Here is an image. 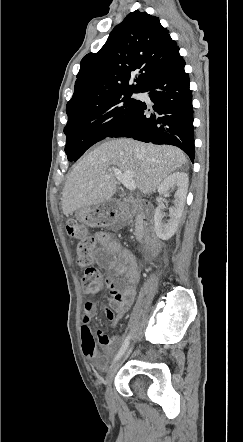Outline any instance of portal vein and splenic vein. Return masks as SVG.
Here are the masks:
<instances>
[{
  "instance_id": "1",
  "label": "portal vein and splenic vein",
  "mask_w": 243,
  "mask_h": 442,
  "mask_svg": "<svg viewBox=\"0 0 243 442\" xmlns=\"http://www.w3.org/2000/svg\"><path fill=\"white\" fill-rule=\"evenodd\" d=\"M110 171H113L115 177L129 190L133 191L136 188L135 182L133 180L135 176L134 171H122L116 167L110 168Z\"/></svg>"
}]
</instances>
